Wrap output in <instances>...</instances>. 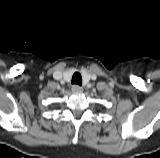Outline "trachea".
I'll return each instance as SVG.
<instances>
[{"label": "trachea", "mask_w": 160, "mask_h": 158, "mask_svg": "<svg viewBox=\"0 0 160 158\" xmlns=\"http://www.w3.org/2000/svg\"><path fill=\"white\" fill-rule=\"evenodd\" d=\"M72 84L81 85L82 84V76L79 72H75L72 76Z\"/></svg>", "instance_id": "1"}]
</instances>
